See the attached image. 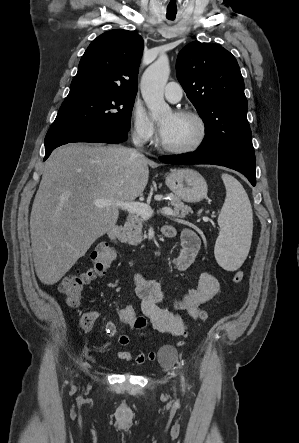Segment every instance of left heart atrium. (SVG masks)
I'll return each mask as SVG.
<instances>
[{"mask_svg": "<svg viewBox=\"0 0 299 443\" xmlns=\"http://www.w3.org/2000/svg\"><path fill=\"white\" fill-rule=\"evenodd\" d=\"M171 123H172V120H168V121H165L160 124L159 130H160L161 136L164 135L168 131V129L171 126Z\"/></svg>", "mask_w": 299, "mask_h": 443, "instance_id": "1", "label": "left heart atrium"}]
</instances>
